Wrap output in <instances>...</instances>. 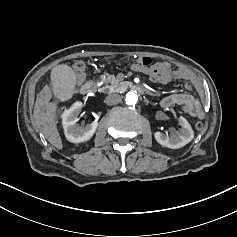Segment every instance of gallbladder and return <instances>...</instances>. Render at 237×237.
Wrapping results in <instances>:
<instances>
[{
    "mask_svg": "<svg viewBox=\"0 0 237 237\" xmlns=\"http://www.w3.org/2000/svg\"><path fill=\"white\" fill-rule=\"evenodd\" d=\"M51 87L57 98L68 100L74 91L75 75L66 64H59L51 73Z\"/></svg>",
    "mask_w": 237,
    "mask_h": 237,
    "instance_id": "obj_1",
    "label": "gallbladder"
}]
</instances>
